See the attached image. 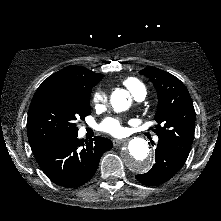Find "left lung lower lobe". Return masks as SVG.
I'll return each instance as SVG.
<instances>
[{
  "mask_svg": "<svg viewBox=\"0 0 221 221\" xmlns=\"http://www.w3.org/2000/svg\"><path fill=\"white\" fill-rule=\"evenodd\" d=\"M185 161L175 154L168 146L158 142L155 150V164L152 169L136 179L146 185H158L171 179Z\"/></svg>",
  "mask_w": 221,
  "mask_h": 221,
  "instance_id": "0a47b994",
  "label": "left lung lower lobe"
}]
</instances>
